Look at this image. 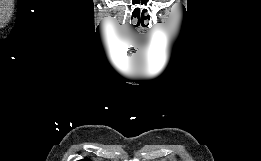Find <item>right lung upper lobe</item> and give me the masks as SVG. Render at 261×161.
<instances>
[{"instance_id": "1", "label": "right lung upper lobe", "mask_w": 261, "mask_h": 161, "mask_svg": "<svg viewBox=\"0 0 261 161\" xmlns=\"http://www.w3.org/2000/svg\"><path fill=\"white\" fill-rule=\"evenodd\" d=\"M81 161H90V160L86 159V160H81Z\"/></svg>"}]
</instances>
